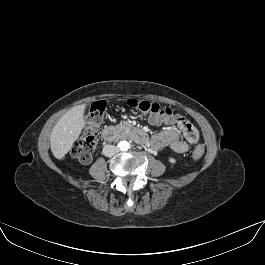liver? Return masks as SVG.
I'll return each mask as SVG.
<instances>
[{
  "mask_svg": "<svg viewBox=\"0 0 265 265\" xmlns=\"http://www.w3.org/2000/svg\"><path fill=\"white\" fill-rule=\"evenodd\" d=\"M84 105L71 108L54 126L50 135V148L55 158L62 159L72 148L84 127Z\"/></svg>",
  "mask_w": 265,
  "mask_h": 265,
  "instance_id": "liver-1",
  "label": "liver"
}]
</instances>
